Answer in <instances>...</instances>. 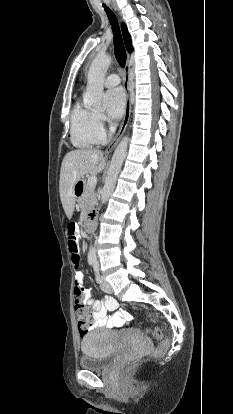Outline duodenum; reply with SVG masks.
Wrapping results in <instances>:
<instances>
[{
    "label": "duodenum",
    "mask_w": 233,
    "mask_h": 414,
    "mask_svg": "<svg viewBox=\"0 0 233 414\" xmlns=\"http://www.w3.org/2000/svg\"><path fill=\"white\" fill-rule=\"evenodd\" d=\"M76 186H81L82 187V192H83L84 185H83L82 182L76 183L75 187ZM95 219H96V213L94 211H91L87 214V216L85 218V221H84V224H83V227H84L85 231L89 232L93 229Z\"/></svg>",
    "instance_id": "1"
}]
</instances>
